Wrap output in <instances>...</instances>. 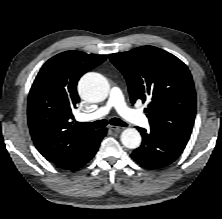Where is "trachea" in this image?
<instances>
[{
	"label": "trachea",
	"mask_w": 222,
	"mask_h": 219,
	"mask_svg": "<svg viewBox=\"0 0 222 219\" xmlns=\"http://www.w3.org/2000/svg\"><path fill=\"white\" fill-rule=\"evenodd\" d=\"M110 124L115 125V126H123V127L127 126V123H125L124 121H122L118 118H112L110 120ZM106 125H108L107 120H98L93 123L77 122L78 127L85 128V129H97V128L104 127Z\"/></svg>",
	"instance_id": "1"
}]
</instances>
